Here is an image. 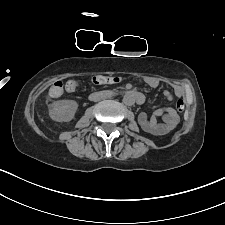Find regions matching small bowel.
I'll list each match as a JSON object with an SVG mask.
<instances>
[{
    "instance_id": "c3829d8e",
    "label": "small bowel",
    "mask_w": 225,
    "mask_h": 225,
    "mask_svg": "<svg viewBox=\"0 0 225 225\" xmlns=\"http://www.w3.org/2000/svg\"><path fill=\"white\" fill-rule=\"evenodd\" d=\"M148 84L153 89L159 87V82L157 80H150ZM174 93L179 97L182 95L183 91L181 88H176ZM163 94L167 100L173 99V95L168 89H164ZM159 119H161V122H159ZM138 120L146 132L154 135H164L172 131L177 126L179 123V116L174 109L166 108L156 110L151 115L142 112L139 114Z\"/></svg>"
}]
</instances>
